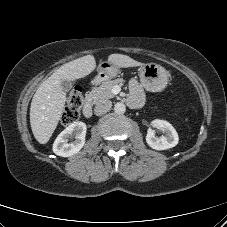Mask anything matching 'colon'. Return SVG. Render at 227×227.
<instances>
[{"mask_svg": "<svg viewBox=\"0 0 227 227\" xmlns=\"http://www.w3.org/2000/svg\"><path fill=\"white\" fill-rule=\"evenodd\" d=\"M82 105V90L78 87H75L68 96L66 106L62 114V123L69 125L76 122L80 117Z\"/></svg>", "mask_w": 227, "mask_h": 227, "instance_id": "obj_1", "label": "colon"}]
</instances>
